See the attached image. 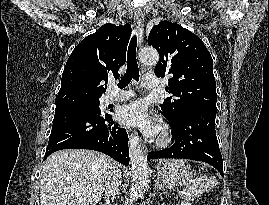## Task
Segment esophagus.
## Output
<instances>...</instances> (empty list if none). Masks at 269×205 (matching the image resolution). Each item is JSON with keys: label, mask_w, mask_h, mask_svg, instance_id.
<instances>
[{"label": "esophagus", "mask_w": 269, "mask_h": 205, "mask_svg": "<svg viewBox=\"0 0 269 205\" xmlns=\"http://www.w3.org/2000/svg\"><path fill=\"white\" fill-rule=\"evenodd\" d=\"M134 22L136 25L137 35H138V46L141 47L144 39V15L138 9L134 14ZM143 153H147L148 149L145 145L141 146Z\"/></svg>", "instance_id": "obj_1"}]
</instances>
